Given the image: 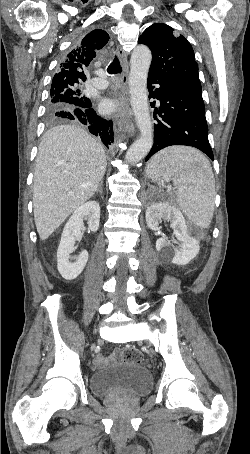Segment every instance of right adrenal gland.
I'll return each instance as SVG.
<instances>
[{
	"label": "right adrenal gland",
	"mask_w": 250,
	"mask_h": 454,
	"mask_svg": "<svg viewBox=\"0 0 250 454\" xmlns=\"http://www.w3.org/2000/svg\"><path fill=\"white\" fill-rule=\"evenodd\" d=\"M102 185H103V181L100 182V184L98 186V189L96 190V193H100L101 195L103 194Z\"/></svg>",
	"instance_id": "right-adrenal-gland-1"
}]
</instances>
